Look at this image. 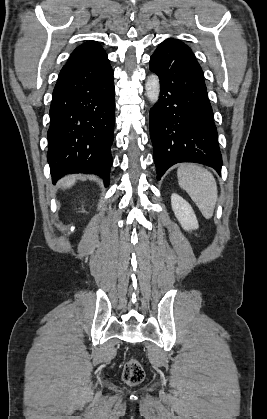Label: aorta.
Listing matches in <instances>:
<instances>
[{
	"label": "aorta",
	"mask_w": 267,
	"mask_h": 419,
	"mask_svg": "<svg viewBox=\"0 0 267 419\" xmlns=\"http://www.w3.org/2000/svg\"><path fill=\"white\" fill-rule=\"evenodd\" d=\"M146 96L153 104L157 103L160 95V81L156 74L148 76L145 83Z\"/></svg>",
	"instance_id": "762f6f07"
}]
</instances>
